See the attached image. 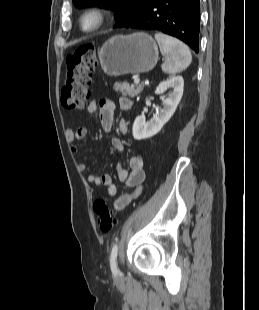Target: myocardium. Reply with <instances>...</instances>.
Instances as JSON below:
<instances>
[{
  "instance_id": "obj_1",
  "label": "myocardium",
  "mask_w": 259,
  "mask_h": 310,
  "mask_svg": "<svg viewBox=\"0 0 259 310\" xmlns=\"http://www.w3.org/2000/svg\"><path fill=\"white\" fill-rule=\"evenodd\" d=\"M92 20L91 25L87 22ZM107 21L106 11L99 7H91L86 9L79 19L80 28L84 32H95L102 28Z\"/></svg>"
}]
</instances>
